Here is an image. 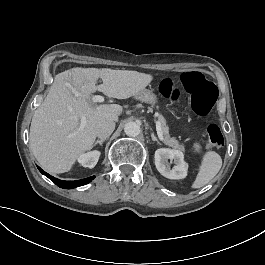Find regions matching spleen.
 <instances>
[{
  "label": "spleen",
  "instance_id": "spleen-1",
  "mask_svg": "<svg viewBox=\"0 0 265 265\" xmlns=\"http://www.w3.org/2000/svg\"><path fill=\"white\" fill-rule=\"evenodd\" d=\"M222 167V157L215 151H205L200 158L198 172L191 188L197 189L205 186L220 171Z\"/></svg>",
  "mask_w": 265,
  "mask_h": 265
}]
</instances>
